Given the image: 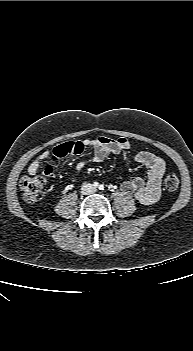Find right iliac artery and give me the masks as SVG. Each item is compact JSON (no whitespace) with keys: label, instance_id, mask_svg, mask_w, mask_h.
I'll return each instance as SVG.
<instances>
[{"label":"right iliac artery","instance_id":"obj_1","mask_svg":"<svg viewBox=\"0 0 193 351\" xmlns=\"http://www.w3.org/2000/svg\"><path fill=\"white\" fill-rule=\"evenodd\" d=\"M93 186H94V188H97L99 186V183L98 182H94Z\"/></svg>","mask_w":193,"mask_h":351}]
</instances>
